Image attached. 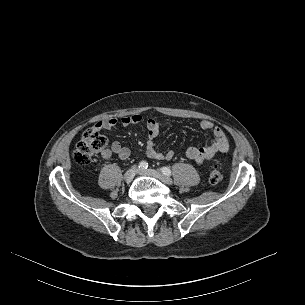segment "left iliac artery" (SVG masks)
<instances>
[{"instance_id":"obj_1","label":"left iliac artery","mask_w":305,"mask_h":305,"mask_svg":"<svg viewBox=\"0 0 305 305\" xmlns=\"http://www.w3.org/2000/svg\"><path fill=\"white\" fill-rule=\"evenodd\" d=\"M161 170H162V173H163L164 175H166V176H170V175H171V170H170V168H168V167H162Z\"/></svg>"}]
</instances>
